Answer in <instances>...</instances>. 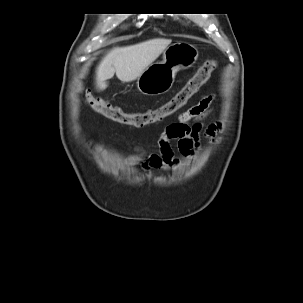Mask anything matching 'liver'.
Wrapping results in <instances>:
<instances>
[{"label":"liver","instance_id":"1","mask_svg":"<svg viewBox=\"0 0 303 303\" xmlns=\"http://www.w3.org/2000/svg\"><path fill=\"white\" fill-rule=\"evenodd\" d=\"M170 39H151L135 45L116 47L108 52L96 69V88H107V80L116 73L122 82H131L151 65L170 45Z\"/></svg>","mask_w":303,"mask_h":303}]
</instances>
